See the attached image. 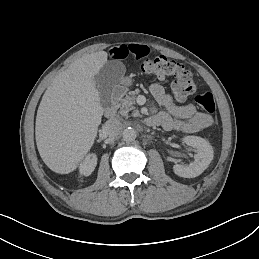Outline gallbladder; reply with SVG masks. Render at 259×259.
Segmentation results:
<instances>
[{
  "instance_id": "1",
  "label": "gallbladder",
  "mask_w": 259,
  "mask_h": 259,
  "mask_svg": "<svg viewBox=\"0 0 259 259\" xmlns=\"http://www.w3.org/2000/svg\"><path fill=\"white\" fill-rule=\"evenodd\" d=\"M125 67L119 60L108 61L95 75L101 104L104 107L110 106L111 92L123 78Z\"/></svg>"
}]
</instances>
